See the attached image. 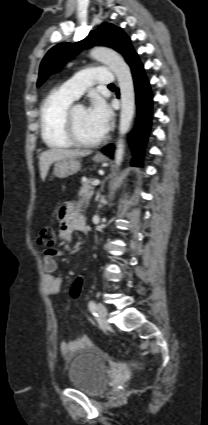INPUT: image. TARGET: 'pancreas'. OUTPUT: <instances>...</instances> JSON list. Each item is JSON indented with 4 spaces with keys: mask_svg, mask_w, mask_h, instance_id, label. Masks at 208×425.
<instances>
[{
    "mask_svg": "<svg viewBox=\"0 0 208 425\" xmlns=\"http://www.w3.org/2000/svg\"><path fill=\"white\" fill-rule=\"evenodd\" d=\"M93 181V178L87 179L86 181H82V187L80 188V191L78 193L81 203H87L91 199L94 193L93 187L91 186Z\"/></svg>",
    "mask_w": 208,
    "mask_h": 425,
    "instance_id": "pancreas-1",
    "label": "pancreas"
}]
</instances>
